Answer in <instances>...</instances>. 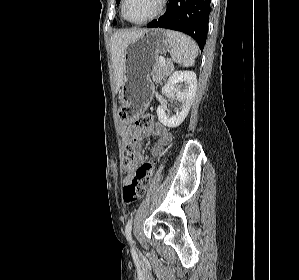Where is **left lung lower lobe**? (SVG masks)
<instances>
[{
  "instance_id": "left-lung-lower-lobe-1",
  "label": "left lung lower lobe",
  "mask_w": 299,
  "mask_h": 280,
  "mask_svg": "<svg viewBox=\"0 0 299 280\" xmlns=\"http://www.w3.org/2000/svg\"><path fill=\"white\" fill-rule=\"evenodd\" d=\"M210 0H169L167 11L147 27L184 32L194 38L201 50L207 39Z\"/></svg>"
}]
</instances>
